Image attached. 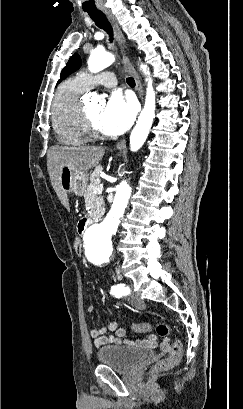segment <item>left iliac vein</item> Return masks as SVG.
Segmentation results:
<instances>
[{
    "label": "left iliac vein",
    "instance_id": "1",
    "mask_svg": "<svg viewBox=\"0 0 243 409\" xmlns=\"http://www.w3.org/2000/svg\"><path fill=\"white\" fill-rule=\"evenodd\" d=\"M131 303H132L134 306L138 307V308H142V307L144 306V302H143L139 297H137V296H133V297L131 298Z\"/></svg>",
    "mask_w": 243,
    "mask_h": 409
}]
</instances>
